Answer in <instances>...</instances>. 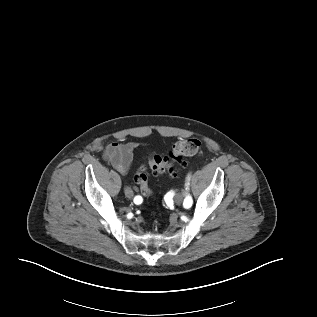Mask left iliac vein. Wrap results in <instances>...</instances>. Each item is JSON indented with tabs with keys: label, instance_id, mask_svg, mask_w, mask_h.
Returning a JSON list of instances; mask_svg holds the SVG:
<instances>
[{
	"label": "left iliac vein",
	"instance_id": "left-iliac-vein-1",
	"mask_svg": "<svg viewBox=\"0 0 317 317\" xmlns=\"http://www.w3.org/2000/svg\"><path fill=\"white\" fill-rule=\"evenodd\" d=\"M174 200H175V203H176L177 205L182 204V202H183V195H182L181 193H177V194L175 195V197H174Z\"/></svg>",
	"mask_w": 317,
	"mask_h": 317
}]
</instances>
